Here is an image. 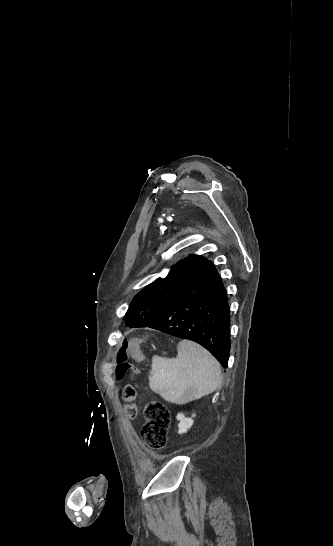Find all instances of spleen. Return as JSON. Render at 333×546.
I'll list each match as a JSON object with an SVG mask.
<instances>
[{
  "instance_id": "1",
  "label": "spleen",
  "mask_w": 333,
  "mask_h": 546,
  "mask_svg": "<svg viewBox=\"0 0 333 546\" xmlns=\"http://www.w3.org/2000/svg\"><path fill=\"white\" fill-rule=\"evenodd\" d=\"M176 358L152 357L150 388L165 400L184 404L217 390L222 385L220 365L200 345L182 340Z\"/></svg>"
}]
</instances>
